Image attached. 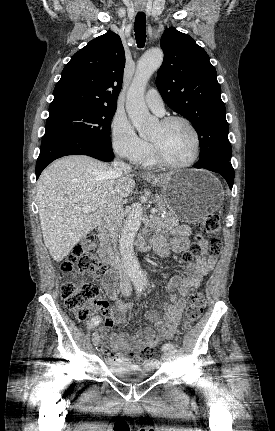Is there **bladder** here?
<instances>
[{
	"mask_svg": "<svg viewBox=\"0 0 275 431\" xmlns=\"http://www.w3.org/2000/svg\"><path fill=\"white\" fill-rule=\"evenodd\" d=\"M108 369L110 373L116 378H122L126 376L145 378L150 375V372H147L133 365L132 363L109 362Z\"/></svg>",
	"mask_w": 275,
	"mask_h": 431,
	"instance_id": "bladder-1",
	"label": "bladder"
}]
</instances>
